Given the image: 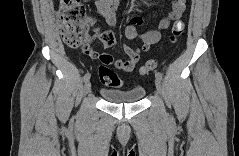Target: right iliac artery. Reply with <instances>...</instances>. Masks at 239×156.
Segmentation results:
<instances>
[{"label": "right iliac artery", "mask_w": 239, "mask_h": 156, "mask_svg": "<svg viewBox=\"0 0 239 156\" xmlns=\"http://www.w3.org/2000/svg\"><path fill=\"white\" fill-rule=\"evenodd\" d=\"M90 77H91L90 73H86L83 77L84 82L89 81Z\"/></svg>", "instance_id": "obj_1"}]
</instances>
